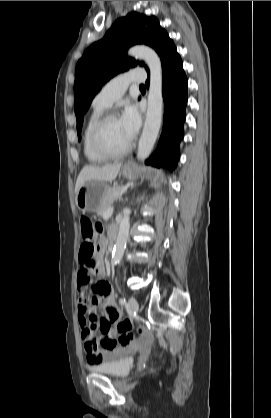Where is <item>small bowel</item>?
I'll list each match as a JSON object with an SVG mask.
<instances>
[{"label":"small bowel","mask_w":271,"mask_h":418,"mask_svg":"<svg viewBox=\"0 0 271 418\" xmlns=\"http://www.w3.org/2000/svg\"><path fill=\"white\" fill-rule=\"evenodd\" d=\"M103 248V241L98 242L95 250L94 241L83 240L80 249L76 250L78 321L89 365H97L110 360L121 353L130 351L142 342L131 339L128 344H123L119 341L122 333L119 332L118 325L123 321L122 314L115 304L111 285L103 280L105 276ZM91 273H94L100 281L93 285L94 295L88 298L87 290L91 282ZM98 304H101L103 309V317L100 319L95 315V308ZM97 331H99L98 336ZM117 334L120 335L118 339H116Z\"/></svg>","instance_id":"1"}]
</instances>
